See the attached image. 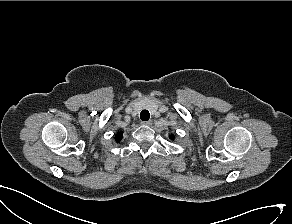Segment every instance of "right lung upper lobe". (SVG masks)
I'll return each mask as SVG.
<instances>
[{
  "label": "right lung upper lobe",
  "mask_w": 292,
  "mask_h": 224,
  "mask_svg": "<svg viewBox=\"0 0 292 224\" xmlns=\"http://www.w3.org/2000/svg\"><path fill=\"white\" fill-rule=\"evenodd\" d=\"M122 137H123V132L121 131V132H118L116 135H115V140L117 141V142H119L121 139H122Z\"/></svg>",
  "instance_id": "obj_1"
}]
</instances>
